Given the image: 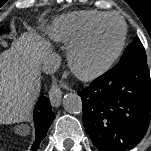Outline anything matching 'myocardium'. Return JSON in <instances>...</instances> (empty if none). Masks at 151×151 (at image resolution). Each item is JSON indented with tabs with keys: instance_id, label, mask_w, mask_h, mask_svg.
<instances>
[{
	"instance_id": "1",
	"label": "myocardium",
	"mask_w": 151,
	"mask_h": 151,
	"mask_svg": "<svg viewBox=\"0 0 151 151\" xmlns=\"http://www.w3.org/2000/svg\"><path fill=\"white\" fill-rule=\"evenodd\" d=\"M109 18L117 19L122 25L120 40L112 55L104 62L91 66L84 62L83 55L89 45L93 35L102 22ZM127 23L119 14L110 12L98 18L87 30V32L77 40L69 50V63L74 73L82 80L96 79L108 72L117 62L124 49L127 38Z\"/></svg>"
}]
</instances>
